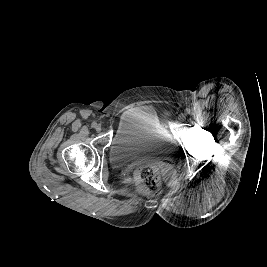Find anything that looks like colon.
Returning <instances> with one entry per match:
<instances>
[{
    "label": "colon",
    "mask_w": 267,
    "mask_h": 267,
    "mask_svg": "<svg viewBox=\"0 0 267 267\" xmlns=\"http://www.w3.org/2000/svg\"><path fill=\"white\" fill-rule=\"evenodd\" d=\"M135 179L140 189L148 194H155L160 187L159 170L155 165L140 166L135 172Z\"/></svg>",
    "instance_id": "1"
}]
</instances>
